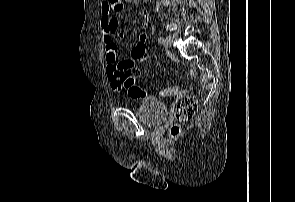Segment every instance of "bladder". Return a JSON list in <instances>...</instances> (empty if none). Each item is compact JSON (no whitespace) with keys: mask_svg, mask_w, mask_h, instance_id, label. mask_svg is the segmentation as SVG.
Returning a JSON list of instances; mask_svg holds the SVG:
<instances>
[{"mask_svg":"<svg viewBox=\"0 0 295 202\" xmlns=\"http://www.w3.org/2000/svg\"><path fill=\"white\" fill-rule=\"evenodd\" d=\"M136 115L143 123L157 125L165 120L167 116V106L164 102L155 97H143L136 109Z\"/></svg>","mask_w":295,"mask_h":202,"instance_id":"1","label":"bladder"}]
</instances>
